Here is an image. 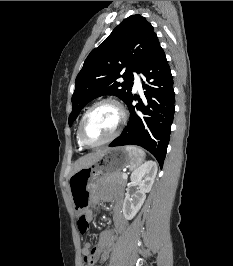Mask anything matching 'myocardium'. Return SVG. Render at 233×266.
<instances>
[{
	"label": "myocardium",
	"instance_id": "myocardium-1",
	"mask_svg": "<svg viewBox=\"0 0 233 266\" xmlns=\"http://www.w3.org/2000/svg\"><path fill=\"white\" fill-rule=\"evenodd\" d=\"M104 104H112L118 109L119 114H120V121L118 123V126L114 130V132L108 138H106L100 142H97V143H89L85 140V138L83 136L84 125H85L87 119L89 118V116L92 114V112L95 109H97L99 106L104 105ZM126 122H127V112H126L123 104L115 98H104V99L96 102L94 105H92L87 110V112L84 114V116L82 117V119L79 123L78 131H77L78 140H79L80 144L84 147L95 148V147L102 146V145L110 143L114 139H116L121 134L122 130L124 129Z\"/></svg>",
	"mask_w": 233,
	"mask_h": 266
}]
</instances>
